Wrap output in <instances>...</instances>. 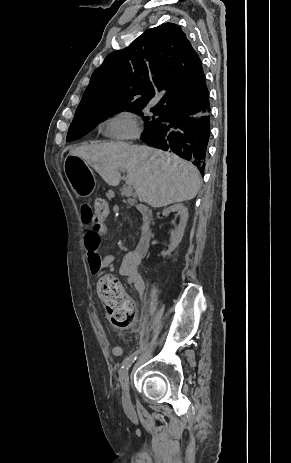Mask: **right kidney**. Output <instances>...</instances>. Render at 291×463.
<instances>
[{
    "label": "right kidney",
    "mask_w": 291,
    "mask_h": 463,
    "mask_svg": "<svg viewBox=\"0 0 291 463\" xmlns=\"http://www.w3.org/2000/svg\"><path fill=\"white\" fill-rule=\"evenodd\" d=\"M171 212H176L180 214V222L179 225L171 232V238H170V245H169V251H173L179 243L181 242L183 235H184V230L186 227V223L189 217L188 214V209L183 205V204H175L172 205L168 208H165L163 210V215H168Z\"/></svg>",
    "instance_id": "right-kidney-1"
}]
</instances>
